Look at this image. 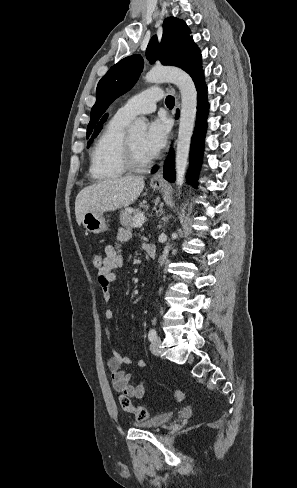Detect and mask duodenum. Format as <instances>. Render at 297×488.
<instances>
[{"label": "duodenum", "mask_w": 297, "mask_h": 488, "mask_svg": "<svg viewBox=\"0 0 297 488\" xmlns=\"http://www.w3.org/2000/svg\"><path fill=\"white\" fill-rule=\"evenodd\" d=\"M145 250H146V253H147V255H148V257H149L150 259H153V258L155 257V255H156V251H155V249H154V247H153V246H151L150 244H147V245L145 246Z\"/></svg>", "instance_id": "1"}]
</instances>
